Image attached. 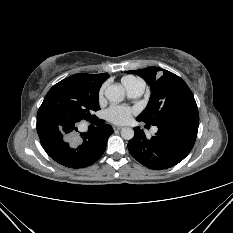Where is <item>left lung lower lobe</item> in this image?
<instances>
[{
    "instance_id": "obj_1",
    "label": "left lung lower lobe",
    "mask_w": 233,
    "mask_h": 233,
    "mask_svg": "<svg viewBox=\"0 0 233 233\" xmlns=\"http://www.w3.org/2000/svg\"><path fill=\"white\" fill-rule=\"evenodd\" d=\"M156 126L158 132L151 138H147L143 130L135 127V135L129 141L128 149L138 162L150 169L170 168L182 161L193 148L199 115L191 114Z\"/></svg>"
}]
</instances>
